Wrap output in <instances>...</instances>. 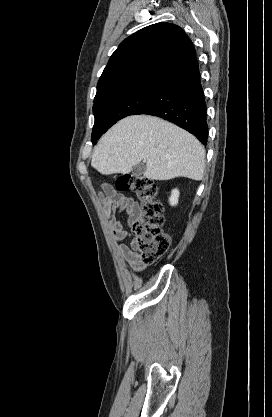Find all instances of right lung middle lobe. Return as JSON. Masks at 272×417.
<instances>
[{
  "mask_svg": "<svg viewBox=\"0 0 272 417\" xmlns=\"http://www.w3.org/2000/svg\"><path fill=\"white\" fill-rule=\"evenodd\" d=\"M161 85L137 86L119 90L100 100L94 101L95 124L92 143L118 120L133 115L157 92Z\"/></svg>",
  "mask_w": 272,
  "mask_h": 417,
  "instance_id": "obj_1",
  "label": "right lung middle lobe"
}]
</instances>
